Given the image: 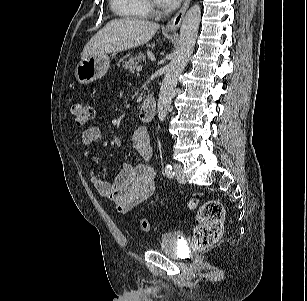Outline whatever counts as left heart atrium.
Masks as SVG:
<instances>
[{"label": "left heart atrium", "mask_w": 307, "mask_h": 301, "mask_svg": "<svg viewBox=\"0 0 307 301\" xmlns=\"http://www.w3.org/2000/svg\"><path fill=\"white\" fill-rule=\"evenodd\" d=\"M155 4L162 9H173L181 0H154Z\"/></svg>", "instance_id": "left-heart-atrium-1"}]
</instances>
